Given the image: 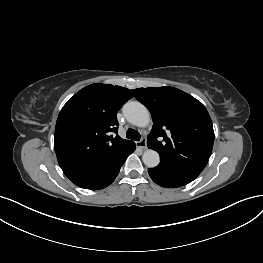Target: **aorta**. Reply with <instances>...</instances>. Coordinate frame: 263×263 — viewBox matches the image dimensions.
<instances>
[{
    "mask_svg": "<svg viewBox=\"0 0 263 263\" xmlns=\"http://www.w3.org/2000/svg\"><path fill=\"white\" fill-rule=\"evenodd\" d=\"M126 119L137 127H146L150 122L148 109L138 101L127 102L123 107ZM142 161L147 167H156L160 162L159 154L151 149L143 153Z\"/></svg>",
    "mask_w": 263,
    "mask_h": 263,
    "instance_id": "762f6f07",
    "label": "aorta"
}]
</instances>
